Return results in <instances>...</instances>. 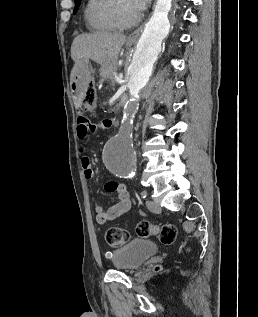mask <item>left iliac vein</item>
<instances>
[{
	"mask_svg": "<svg viewBox=\"0 0 258 317\" xmlns=\"http://www.w3.org/2000/svg\"><path fill=\"white\" fill-rule=\"evenodd\" d=\"M147 201V206H149V209L153 212V213H158L161 209L159 208L158 205V201L157 200H151L149 201L148 199Z\"/></svg>",
	"mask_w": 258,
	"mask_h": 317,
	"instance_id": "1",
	"label": "left iliac vein"
}]
</instances>
